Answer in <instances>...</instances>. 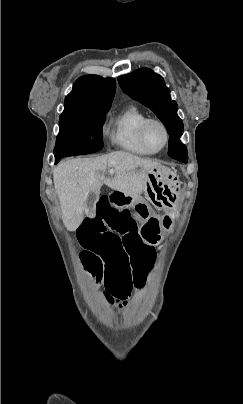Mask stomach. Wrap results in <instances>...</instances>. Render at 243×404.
<instances>
[{
    "label": "stomach",
    "instance_id": "stomach-1",
    "mask_svg": "<svg viewBox=\"0 0 243 404\" xmlns=\"http://www.w3.org/2000/svg\"><path fill=\"white\" fill-rule=\"evenodd\" d=\"M179 188L178 176L169 168L157 165L148 171L144 192L154 207L159 209L171 207L178 198ZM131 206L142 222L140 237L143 242L151 246L158 245L161 241L162 232L172 229V215L159 217L141 197L134 198Z\"/></svg>",
    "mask_w": 243,
    "mask_h": 404
}]
</instances>
